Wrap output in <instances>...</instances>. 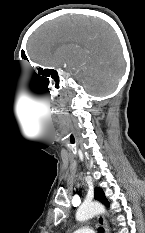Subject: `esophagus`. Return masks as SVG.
Instances as JSON below:
<instances>
[{"instance_id": "1", "label": "esophagus", "mask_w": 145, "mask_h": 233, "mask_svg": "<svg viewBox=\"0 0 145 233\" xmlns=\"http://www.w3.org/2000/svg\"><path fill=\"white\" fill-rule=\"evenodd\" d=\"M97 221H98L99 224H101L104 227L105 233H110L108 224H107V222H106V220H105V218L103 216L99 215L97 217Z\"/></svg>"}]
</instances>
